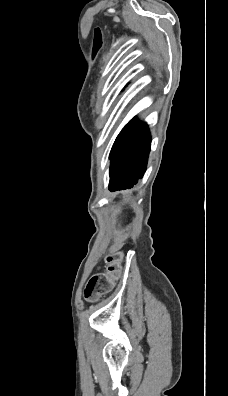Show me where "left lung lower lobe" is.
Wrapping results in <instances>:
<instances>
[{"instance_id":"0a47b994","label":"left lung lower lobe","mask_w":228,"mask_h":396,"mask_svg":"<svg viewBox=\"0 0 228 396\" xmlns=\"http://www.w3.org/2000/svg\"><path fill=\"white\" fill-rule=\"evenodd\" d=\"M150 146L151 137L145 123L133 119L122 129L110 152V191L131 188L142 178Z\"/></svg>"}]
</instances>
